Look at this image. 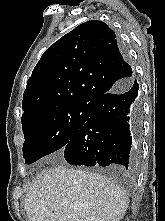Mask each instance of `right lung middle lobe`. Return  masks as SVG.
Wrapping results in <instances>:
<instances>
[{
	"instance_id": "dd1d6c3e",
	"label": "right lung middle lobe",
	"mask_w": 165,
	"mask_h": 221,
	"mask_svg": "<svg viewBox=\"0 0 165 221\" xmlns=\"http://www.w3.org/2000/svg\"><path fill=\"white\" fill-rule=\"evenodd\" d=\"M90 104L65 105L39 112L24 121L23 157L31 164L64 148L90 116Z\"/></svg>"
}]
</instances>
